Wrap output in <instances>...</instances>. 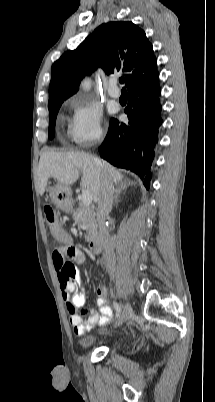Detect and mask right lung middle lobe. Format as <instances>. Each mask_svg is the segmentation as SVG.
<instances>
[{
  "label": "right lung middle lobe",
  "mask_w": 215,
  "mask_h": 402,
  "mask_svg": "<svg viewBox=\"0 0 215 402\" xmlns=\"http://www.w3.org/2000/svg\"><path fill=\"white\" fill-rule=\"evenodd\" d=\"M67 98H59L49 103V129H48V136L50 139L54 137V130H55V121L56 116L59 111L60 106L62 105L63 101Z\"/></svg>",
  "instance_id": "dd1d6c3e"
}]
</instances>
